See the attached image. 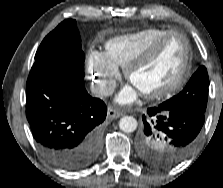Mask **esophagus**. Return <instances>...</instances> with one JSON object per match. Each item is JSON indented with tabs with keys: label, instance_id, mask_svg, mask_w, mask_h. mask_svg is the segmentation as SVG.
I'll list each match as a JSON object with an SVG mask.
<instances>
[{
	"label": "esophagus",
	"instance_id": "1",
	"mask_svg": "<svg viewBox=\"0 0 223 188\" xmlns=\"http://www.w3.org/2000/svg\"><path fill=\"white\" fill-rule=\"evenodd\" d=\"M120 116H122V113H120L119 111L113 109L112 107H108L107 117L109 119H117Z\"/></svg>",
	"mask_w": 223,
	"mask_h": 188
}]
</instances>
